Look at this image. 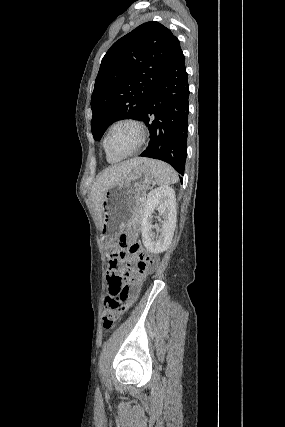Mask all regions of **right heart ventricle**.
Instances as JSON below:
<instances>
[{
    "mask_svg": "<svg viewBox=\"0 0 285 427\" xmlns=\"http://www.w3.org/2000/svg\"><path fill=\"white\" fill-rule=\"evenodd\" d=\"M105 152H106V159H107L108 162L115 163V162H117V161L120 160V158H117V157L109 154L106 150H105Z\"/></svg>",
    "mask_w": 285,
    "mask_h": 427,
    "instance_id": "right-heart-ventricle-1",
    "label": "right heart ventricle"
}]
</instances>
